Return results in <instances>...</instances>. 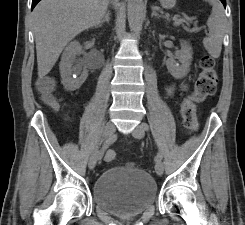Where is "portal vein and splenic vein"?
Returning a JSON list of instances; mask_svg holds the SVG:
<instances>
[{"label": "portal vein and splenic vein", "mask_w": 245, "mask_h": 225, "mask_svg": "<svg viewBox=\"0 0 245 225\" xmlns=\"http://www.w3.org/2000/svg\"><path fill=\"white\" fill-rule=\"evenodd\" d=\"M173 20H174L175 24H179V23H181V22L184 21V19L178 18L177 16H174V17H173Z\"/></svg>", "instance_id": "obj_1"}]
</instances>
